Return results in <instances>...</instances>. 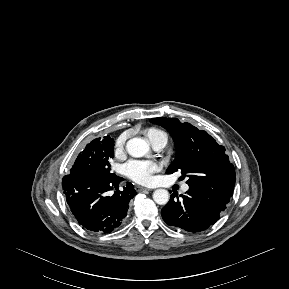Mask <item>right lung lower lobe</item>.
Returning <instances> with one entry per match:
<instances>
[{
    "label": "right lung lower lobe",
    "mask_w": 289,
    "mask_h": 289,
    "mask_svg": "<svg viewBox=\"0 0 289 289\" xmlns=\"http://www.w3.org/2000/svg\"><path fill=\"white\" fill-rule=\"evenodd\" d=\"M122 180L115 174L95 178L76 170H70V174L63 177L66 201L82 227L106 234L120 226L127 215L129 201L136 195L129 182L122 191L119 190ZM114 188L116 191L109 196V191Z\"/></svg>",
    "instance_id": "1"
}]
</instances>
